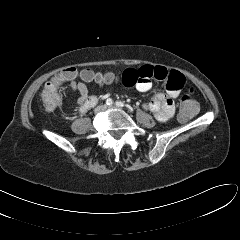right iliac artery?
<instances>
[{"label":"right iliac artery","mask_w":240,"mask_h":240,"mask_svg":"<svg viewBox=\"0 0 240 240\" xmlns=\"http://www.w3.org/2000/svg\"><path fill=\"white\" fill-rule=\"evenodd\" d=\"M106 104H107L108 106L112 105V104H113V100H112L111 98L107 99V100H106Z\"/></svg>","instance_id":"82829eb1"}]
</instances>
